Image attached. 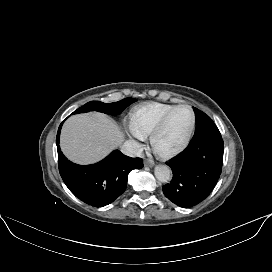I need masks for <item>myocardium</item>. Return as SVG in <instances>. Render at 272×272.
<instances>
[{
	"instance_id": "myocardium-1",
	"label": "myocardium",
	"mask_w": 272,
	"mask_h": 272,
	"mask_svg": "<svg viewBox=\"0 0 272 272\" xmlns=\"http://www.w3.org/2000/svg\"><path fill=\"white\" fill-rule=\"evenodd\" d=\"M179 109H186L191 114V124H190L189 130L186 136L184 137V139L177 146L171 149H161L156 144L157 138L160 135V133L163 131L171 115ZM195 126H196V116L193 109L190 106L184 105V104L175 106L160 119V121L158 122V124L156 125V127L153 129V131L150 134V144L153 151L162 157H171L178 154L179 152H181L188 146L193 136Z\"/></svg>"
}]
</instances>
